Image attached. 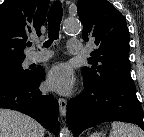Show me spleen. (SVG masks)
<instances>
[{
  "label": "spleen",
  "mask_w": 144,
  "mask_h": 137,
  "mask_svg": "<svg viewBox=\"0 0 144 137\" xmlns=\"http://www.w3.org/2000/svg\"><path fill=\"white\" fill-rule=\"evenodd\" d=\"M109 137H144V131L129 123L113 122Z\"/></svg>",
  "instance_id": "obj_1"
}]
</instances>
